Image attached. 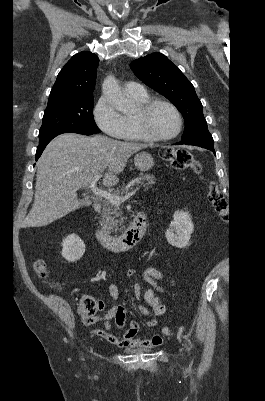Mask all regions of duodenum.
Instances as JSON below:
<instances>
[{
  "label": "duodenum",
  "mask_w": 265,
  "mask_h": 401,
  "mask_svg": "<svg viewBox=\"0 0 265 401\" xmlns=\"http://www.w3.org/2000/svg\"><path fill=\"white\" fill-rule=\"evenodd\" d=\"M96 209V205L93 207ZM146 231V216L143 212H139L134 217L128 229L119 236H112L107 232L94 227L93 232L95 238L108 250L114 252L127 251L138 243L144 236Z\"/></svg>",
  "instance_id": "duodenum-1"
}]
</instances>
